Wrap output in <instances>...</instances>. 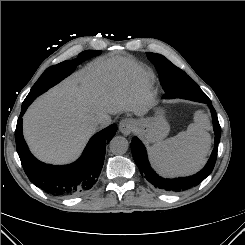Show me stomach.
I'll list each match as a JSON object with an SVG mask.
<instances>
[{"instance_id": "obj_1", "label": "stomach", "mask_w": 245, "mask_h": 245, "mask_svg": "<svg viewBox=\"0 0 245 245\" xmlns=\"http://www.w3.org/2000/svg\"><path fill=\"white\" fill-rule=\"evenodd\" d=\"M169 130V124L161 110L158 111L157 116L141 119L137 123V131L147 143L160 142L168 135Z\"/></svg>"}]
</instances>
